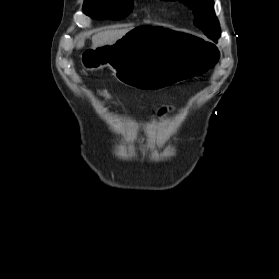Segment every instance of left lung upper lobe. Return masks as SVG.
<instances>
[{
    "label": "left lung upper lobe",
    "mask_w": 279,
    "mask_h": 279,
    "mask_svg": "<svg viewBox=\"0 0 279 279\" xmlns=\"http://www.w3.org/2000/svg\"><path fill=\"white\" fill-rule=\"evenodd\" d=\"M173 1V0H172ZM191 7L194 12L195 25L214 41L220 37L219 22L214 13L213 0H179Z\"/></svg>",
    "instance_id": "obj_1"
}]
</instances>
